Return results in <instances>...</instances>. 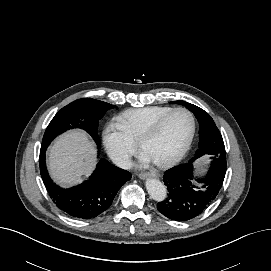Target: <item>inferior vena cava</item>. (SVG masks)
Instances as JSON below:
<instances>
[{
  "label": "inferior vena cava",
  "mask_w": 271,
  "mask_h": 271,
  "mask_svg": "<svg viewBox=\"0 0 271 271\" xmlns=\"http://www.w3.org/2000/svg\"><path fill=\"white\" fill-rule=\"evenodd\" d=\"M113 163L123 169H130L132 167L131 158L125 153H116L111 156Z\"/></svg>",
  "instance_id": "1"
}]
</instances>
